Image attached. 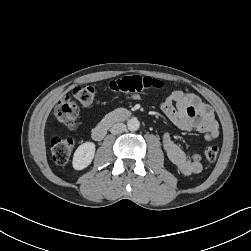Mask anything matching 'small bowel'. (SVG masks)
I'll return each instance as SVG.
<instances>
[{
	"label": "small bowel",
	"instance_id": "c3829d8e",
	"mask_svg": "<svg viewBox=\"0 0 251 251\" xmlns=\"http://www.w3.org/2000/svg\"><path fill=\"white\" fill-rule=\"evenodd\" d=\"M160 109L181 130L202 133L206 140H213L219 135V126L212 107L195 94L173 91L161 101ZM162 144L168 159L182 174L193 175L202 171L199 150H194L188 156L169 133L163 135Z\"/></svg>",
	"mask_w": 251,
	"mask_h": 251
}]
</instances>
